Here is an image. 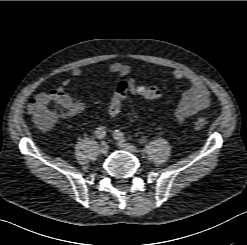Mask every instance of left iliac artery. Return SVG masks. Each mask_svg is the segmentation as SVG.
<instances>
[{
  "label": "left iliac artery",
  "instance_id": "1",
  "mask_svg": "<svg viewBox=\"0 0 247 245\" xmlns=\"http://www.w3.org/2000/svg\"><path fill=\"white\" fill-rule=\"evenodd\" d=\"M113 136L115 137V139H118V140H121V141H125L126 140L124 134L119 130H115L114 133H113Z\"/></svg>",
  "mask_w": 247,
  "mask_h": 245
}]
</instances>
